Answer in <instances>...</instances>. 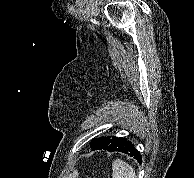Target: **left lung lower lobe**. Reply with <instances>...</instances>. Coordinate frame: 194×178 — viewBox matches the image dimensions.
Wrapping results in <instances>:
<instances>
[{
	"label": "left lung lower lobe",
	"instance_id": "1",
	"mask_svg": "<svg viewBox=\"0 0 194 178\" xmlns=\"http://www.w3.org/2000/svg\"><path fill=\"white\" fill-rule=\"evenodd\" d=\"M90 145L92 151L102 149L109 152L119 151L133 156L140 163L142 162V158L138 150L130 141H127V139L125 138H117L115 136H113L112 138L100 137L99 139H93Z\"/></svg>",
	"mask_w": 194,
	"mask_h": 178
}]
</instances>
